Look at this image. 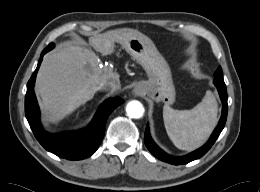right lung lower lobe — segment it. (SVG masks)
<instances>
[{
    "mask_svg": "<svg viewBox=\"0 0 260 192\" xmlns=\"http://www.w3.org/2000/svg\"><path fill=\"white\" fill-rule=\"evenodd\" d=\"M49 50L47 47L43 50L37 68L27 83L25 115L36 139L47 151L69 160L85 159L91 156L101 144L107 118L117 106L123 103V100L110 98L104 101L91 124L82 131L67 132L62 135H54L44 131L39 119V107L33 88L43 55Z\"/></svg>",
    "mask_w": 260,
    "mask_h": 192,
    "instance_id": "1",
    "label": "right lung lower lobe"
}]
</instances>
